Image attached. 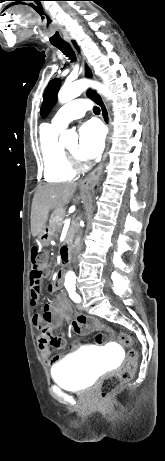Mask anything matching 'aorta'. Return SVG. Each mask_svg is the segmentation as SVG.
I'll use <instances>...</instances> for the list:
<instances>
[{
    "instance_id": "762f6f07",
    "label": "aorta",
    "mask_w": 165,
    "mask_h": 461,
    "mask_svg": "<svg viewBox=\"0 0 165 461\" xmlns=\"http://www.w3.org/2000/svg\"><path fill=\"white\" fill-rule=\"evenodd\" d=\"M88 87H92V88L97 89L102 95H104L105 97H108V99H110V93H109L108 89L105 86H103L101 83L90 81V80H87V79H81V80H78V81H75V82H72V83L64 84L63 87L60 89V91L58 93V100H59L60 103H67V102L75 99L76 97H78ZM71 138H74V139L77 138V135L75 134V132L64 131L61 134L60 142L63 145L67 146V145H69V142H70ZM65 279L67 281H73L74 282L75 279H76V275H75L74 272L69 271L66 274Z\"/></svg>"
}]
</instances>
